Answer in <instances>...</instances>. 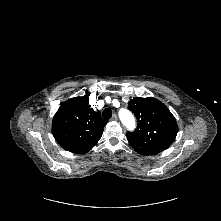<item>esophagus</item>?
I'll return each mask as SVG.
<instances>
[{"label":"esophagus","mask_w":221,"mask_h":221,"mask_svg":"<svg viewBox=\"0 0 221 221\" xmlns=\"http://www.w3.org/2000/svg\"><path fill=\"white\" fill-rule=\"evenodd\" d=\"M117 119H118L117 116H116V115H113L110 120H111V121H117Z\"/></svg>","instance_id":"1"}]
</instances>
